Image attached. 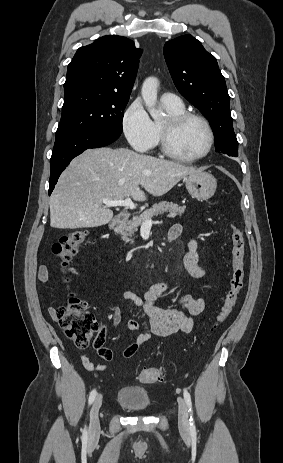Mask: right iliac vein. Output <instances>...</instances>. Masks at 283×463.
<instances>
[{"label":"right iliac vein","instance_id":"63e3f726","mask_svg":"<svg viewBox=\"0 0 283 463\" xmlns=\"http://www.w3.org/2000/svg\"><path fill=\"white\" fill-rule=\"evenodd\" d=\"M101 405H102V395L99 394L94 400V403L90 411V422H89V430H88V435L90 439H95L100 434V422H99L98 414H99V409Z\"/></svg>","mask_w":283,"mask_h":463}]
</instances>
